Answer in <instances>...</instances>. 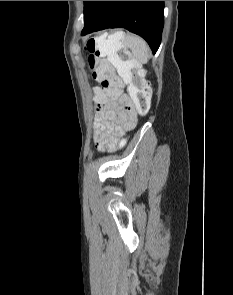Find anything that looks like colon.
Here are the masks:
<instances>
[{"instance_id": "obj_1", "label": "colon", "mask_w": 233, "mask_h": 295, "mask_svg": "<svg viewBox=\"0 0 233 295\" xmlns=\"http://www.w3.org/2000/svg\"><path fill=\"white\" fill-rule=\"evenodd\" d=\"M85 50L89 53L92 75L100 83L95 93L118 95L127 84L138 113L146 114L150 108L151 87L139 62L126 47L124 34L113 32L91 38ZM123 143L120 137L117 145Z\"/></svg>"}]
</instances>
